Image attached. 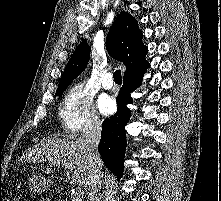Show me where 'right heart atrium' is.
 I'll return each instance as SVG.
<instances>
[{
  "label": "right heart atrium",
  "mask_w": 221,
  "mask_h": 201,
  "mask_svg": "<svg viewBox=\"0 0 221 201\" xmlns=\"http://www.w3.org/2000/svg\"><path fill=\"white\" fill-rule=\"evenodd\" d=\"M60 122L65 132L76 135L101 125L91 93L82 83L71 86L64 95Z\"/></svg>",
  "instance_id": "1"
}]
</instances>
